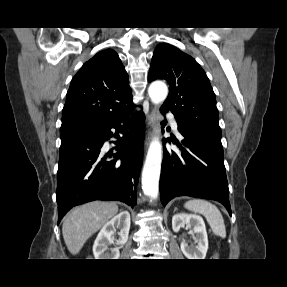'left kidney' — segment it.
<instances>
[{
    "instance_id": "left-kidney-1",
    "label": "left kidney",
    "mask_w": 287,
    "mask_h": 287,
    "mask_svg": "<svg viewBox=\"0 0 287 287\" xmlns=\"http://www.w3.org/2000/svg\"><path fill=\"white\" fill-rule=\"evenodd\" d=\"M193 227V239L195 245H188L185 241L181 243V251L187 259H204L208 250V237L205 223L201 216L194 214L179 213L172 218V229L178 232L182 227Z\"/></svg>"
}]
</instances>
